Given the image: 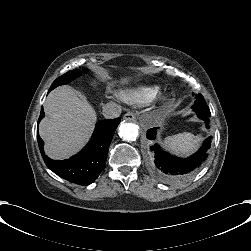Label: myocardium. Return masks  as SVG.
I'll list each match as a JSON object with an SVG mask.
<instances>
[{
	"instance_id": "obj_1",
	"label": "myocardium",
	"mask_w": 251,
	"mask_h": 251,
	"mask_svg": "<svg viewBox=\"0 0 251 251\" xmlns=\"http://www.w3.org/2000/svg\"><path fill=\"white\" fill-rule=\"evenodd\" d=\"M154 101L161 107H167L176 101V96L166 87L159 86L154 96Z\"/></svg>"
}]
</instances>
